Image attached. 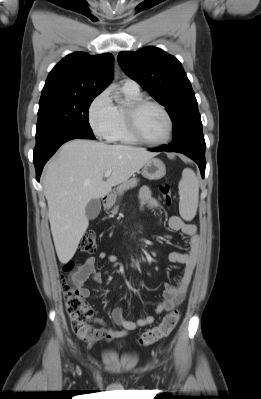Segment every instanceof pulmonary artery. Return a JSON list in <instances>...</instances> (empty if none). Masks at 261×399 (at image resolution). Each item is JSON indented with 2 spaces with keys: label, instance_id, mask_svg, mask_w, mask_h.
Instances as JSON below:
<instances>
[{
  "label": "pulmonary artery",
  "instance_id": "1",
  "mask_svg": "<svg viewBox=\"0 0 261 399\" xmlns=\"http://www.w3.org/2000/svg\"><path fill=\"white\" fill-rule=\"evenodd\" d=\"M122 88H123V90L129 91V92H139L140 91L139 84L135 80H132L130 78H126L125 80H123Z\"/></svg>",
  "mask_w": 261,
  "mask_h": 399
}]
</instances>
